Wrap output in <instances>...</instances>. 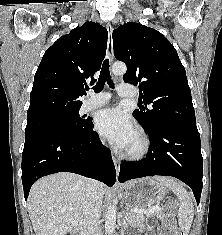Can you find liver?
I'll use <instances>...</instances> for the list:
<instances>
[{"label": "liver", "instance_id": "1", "mask_svg": "<svg viewBox=\"0 0 222 235\" xmlns=\"http://www.w3.org/2000/svg\"><path fill=\"white\" fill-rule=\"evenodd\" d=\"M88 180L59 172L33 184L28 212L36 235H66L78 226L85 207ZM102 193L106 187L100 183Z\"/></svg>", "mask_w": 222, "mask_h": 235}]
</instances>
